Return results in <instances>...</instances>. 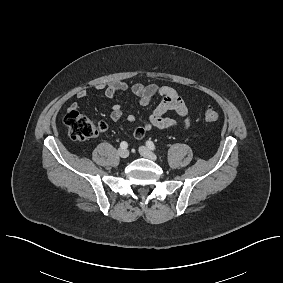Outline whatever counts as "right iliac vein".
Here are the masks:
<instances>
[{"label": "right iliac vein", "instance_id": "1", "mask_svg": "<svg viewBox=\"0 0 283 283\" xmlns=\"http://www.w3.org/2000/svg\"><path fill=\"white\" fill-rule=\"evenodd\" d=\"M118 155L121 157V158H127L129 156V151L127 149H122L120 148L118 150Z\"/></svg>", "mask_w": 283, "mask_h": 283}]
</instances>
